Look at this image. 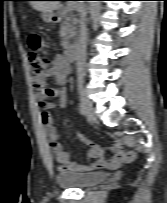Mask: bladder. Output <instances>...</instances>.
I'll use <instances>...</instances> for the list:
<instances>
[{
  "label": "bladder",
  "instance_id": "bladder-1",
  "mask_svg": "<svg viewBox=\"0 0 167 203\" xmlns=\"http://www.w3.org/2000/svg\"><path fill=\"white\" fill-rule=\"evenodd\" d=\"M108 177L106 172L64 171L56 174L55 180L59 186L65 188L87 187L104 182Z\"/></svg>",
  "mask_w": 167,
  "mask_h": 203
}]
</instances>
